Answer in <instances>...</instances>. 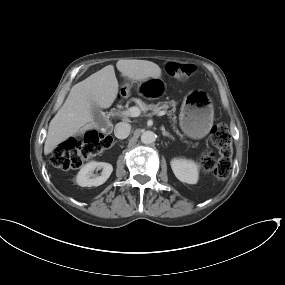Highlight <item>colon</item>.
I'll list each match as a JSON object with an SVG mask.
<instances>
[{"label":"colon","instance_id":"1","mask_svg":"<svg viewBox=\"0 0 285 285\" xmlns=\"http://www.w3.org/2000/svg\"><path fill=\"white\" fill-rule=\"evenodd\" d=\"M166 70L174 78L187 80L195 68L190 64L172 61L167 64ZM210 141L218 150L219 156L216 157L210 151H203L200 155L203 171L217 179H224L230 172L232 156V143L227 126L224 124L213 126L210 131ZM108 144L106 137L94 132L79 138L70 137L53 151L51 163L62 170L76 169L83 164L89 155L97 153L107 147Z\"/></svg>","mask_w":285,"mask_h":285}]
</instances>
